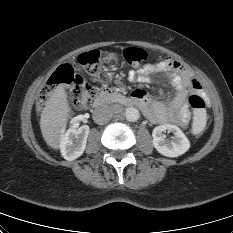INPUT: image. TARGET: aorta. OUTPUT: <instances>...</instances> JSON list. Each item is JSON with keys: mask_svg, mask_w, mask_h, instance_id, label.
<instances>
[{"mask_svg": "<svg viewBox=\"0 0 233 233\" xmlns=\"http://www.w3.org/2000/svg\"><path fill=\"white\" fill-rule=\"evenodd\" d=\"M124 115H125V118L130 122H135L140 117V113H139L138 109H136L134 107L127 108L125 110Z\"/></svg>", "mask_w": 233, "mask_h": 233, "instance_id": "obj_1", "label": "aorta"}]
</instances>
